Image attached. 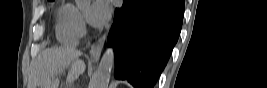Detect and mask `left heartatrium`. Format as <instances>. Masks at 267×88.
<instances>
[{"label":"left heart atrium","instance_id":"left-heart-atrium-1","mask_svg":"<svg viewBox=\"0 0 267 88\" xmlns=\"http://www.w3.org/2000/svg\"><path fill=\"white\" fill-rule=\"evenodd\" d=\"M110 12V7L107 1L97 0L91 5L87 13V18L91 25L100 27L107 22Z\"/></svg>","mask_w":267,"mask_h":88}]
</instances>
